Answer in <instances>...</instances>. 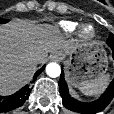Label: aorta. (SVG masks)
Masks as SVG:
<instances>
[{
  "instance_id": "obj_1",
  "label": "aorta",
  "mask_w": 114,
  "mask_h": 114,
  "mask_svg": "<svg viewBox=\"0 0 114 114\" xmlns=\"http://www.w3.org/2000/svg\"><path fill=\"white\" fill-rule=\"evenodd\" d=\"M46 73L49 77L56 78L60 76L61 68L57 63H49L46 66Z\"/></svg>"
}]
</instances>
